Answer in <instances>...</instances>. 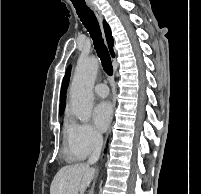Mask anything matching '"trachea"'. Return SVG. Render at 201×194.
Here are the masks:
<instances>
[{
  "label": "trachea",
  "instance_id": "obj_1",
  "mask_svg": "<svg viewBox=\"0 0 201 194\" xmlns=\"http://www.w3.org/2000/svg\"><path fill=\"white\" fill-rule=\"evenodd\" d=\"M73 1V0H72ZM76 12L82 21L83 25L91 35L93 44L101 60L102 67L104 71L111 76L113 74V67L111 63V58L107 47L104 44L99 23L94 12L86 5L85 2H72Z\"/></svg>",
  "mask_w": 201,
  "mask_h": 194
}]
</instances>
